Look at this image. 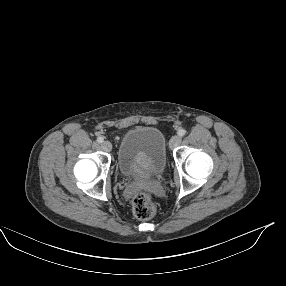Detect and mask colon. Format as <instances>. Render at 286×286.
<instances>
[{"mask_svg": "<svg viewBox=\"0 0 286 286\" xmlns=\"http://www.w3.org/2000/svg\"><path fill=\"white\" fill-rule=\"evenodd\" d=\"M132 211L136 218L147 220L156 212V206L151 197L145 193H138L132 200Z\"/></svg>", "mask_w": 286, "mask_h": 286, "instance_id": "1", "label": "colon"}]
</instances>
